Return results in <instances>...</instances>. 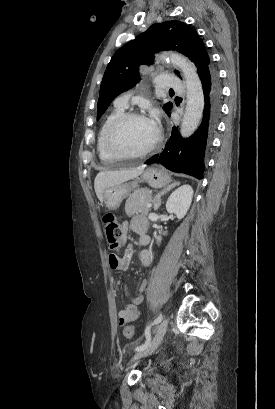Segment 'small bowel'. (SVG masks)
<instances>
[{
	"label": "small bowel",
	"mask_w": 275,
	"mask_h": 409,
	"mask_svg": "<svg viewBox=\"0 0 275 409\" xmlns=\"http://www.w3.org/2000/svg\"><path fill=\"white\" fill-rule=\"evenodd\" d=\"M136 220H145L141 217H136L132 221V227L135 230L133 224ZM137 231V230H135ZM125 227L122 228V239H125ZM150 241L149 236L142 234L139 243L143 246L147 245ZM133 256V248L131 246H127L125 249L124 256L122 258H118L116 256H111L109 258V268L111 270H120L125 271L129 268L131 259ZM140 263L144 268H147L150 265V254L147 250H142L139 254ZM117 286L121 285L120 281L116 282ZM146 281H141L138 286V295L132 299L131 303L126 305L123 309L119 311V322L121 325H124L128 322L135 320L139 315V305L142 302V294L146 289Z\"/></svg>",
	"instance_id": "1"
}]
</instances>
